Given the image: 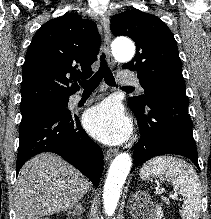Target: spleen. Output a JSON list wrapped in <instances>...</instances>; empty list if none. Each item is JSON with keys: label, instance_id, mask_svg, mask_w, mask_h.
I'll return each instance as SVG.
<instances>
[{"label": "spleen", "instance_id": "spleen-1", "mask_svg": "<svg viewBox=\"0 0 211 219\" xmlns=\"http://www.w3.org/2000/svg\"><path fill=\"white\" fill-rule=\"evenodd\" d=\"M140 175L142 179L157 176L172 182L174 191L184 197L180 210L182 219H199L202 188L199 177L190 164L172 156L157 157L141 167Z\"/></svg>", "mask_w": 211, "mask_h": 219}]
</instances>
